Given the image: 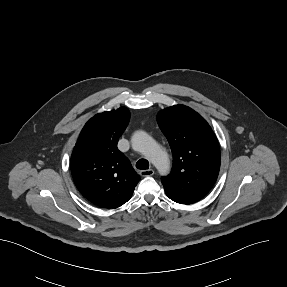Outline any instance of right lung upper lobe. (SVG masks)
<instances>
[{
    "label": "right lung upper lobe",
    "mask_w": 287,
    "mask_h": 287,
    "mask_svg": "<svg viewBox=\"0 0 287 287\" xmlns=\"http://www.w3.org/2000/svg\"><path fill=\"white\" fill-rule=\"evenodd\" d=\"M129 117L125 107L95 115L85 124L71 155V173L77 189L101 208H117L126 203L140 180L117 148Z\"/></svg>",
    "instance_id": "right-lung-upper-lobe-1"
}]
</instances>
